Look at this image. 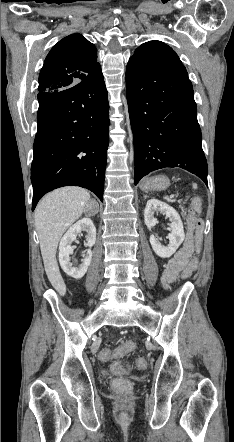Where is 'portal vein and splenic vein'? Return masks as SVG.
Masks as SVG:
<instances>
[{"instance_id":"1","label":"portal vein and splenic vein","mask_w":234,"mask_h":442,"mask_svg":"<svg viewBox=\"0 0 234 442\" xmlns=\"http://www.w3.org/2000/svg\"><path fill=\"white\" fill-rule=\"evenodd\" d=\"M175 197V195L174 194H172V195H170V198L172 199V198H174Z\"/></svg>"}]
</instances>
